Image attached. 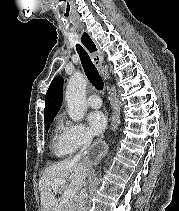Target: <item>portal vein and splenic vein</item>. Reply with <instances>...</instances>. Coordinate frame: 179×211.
Instances as JSON below:
<instances>
[{
    "instance_id": "obj_1",
    "label": "portal vein and splenic vein",
    "mask_w": 179,
    "mask_h": 211,
    "mask_svg": "<svg viewBox=\"0 0 179 211\" xmlns=\"http://www.w3.org/2000/svg\"><path fill=\"white\" fill-rule=\"evenodd\" d=\"M65 184H66V181L64 179H60L53 183V188H57L58 186L65 185ZM75 196H76V190L70 189V188L66 189L63 194V197L66 199H72Z\"/></svg>"
}]
</instances>
